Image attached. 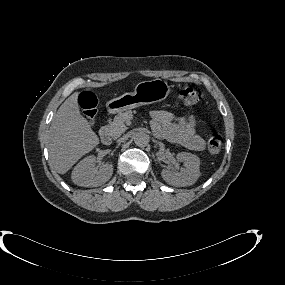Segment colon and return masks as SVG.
Listing matches in <instances>:
<instances>
[{
	"instance_id": "obj_1",
	"label": "colon",
	"mask_w": 285,
	"mask_h": 285,
	"mask_svg": "<svg viewBox=\"0 0 285 285\" xmlns=\"http://www.w3.org/2000/svg\"><path fill=\"white\" fill-rule=\"evenodd\" d=\"M202 98V94L193 87H184L180 91V99L183 105H196ZM80 105L84 114L90 121H93L97 114V99L90 92H84L79 99ZM207 150L212 154H217L222 148V137L220 135H213L208 138L206 142Z\"/></svg>"
}]
</instances>
